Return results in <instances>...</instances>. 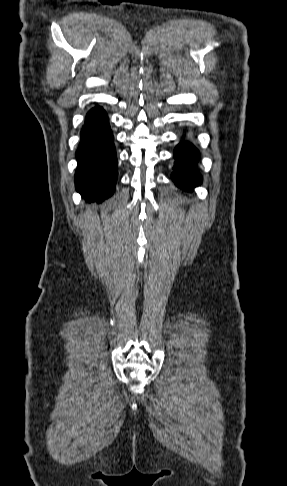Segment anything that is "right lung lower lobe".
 Masks as SVG:
<instances>
[{
  "label": "right lung lower lobe",
  "instance_id": "1",
  "mask_svg": "<svg viewBox=\"0 0 287 486\" xmlns=\"http://www.w3.org/2000/svg\"><path fill=\"white\" fill-rule=\"evenodd\" d=\"M76 189L88 202H101L111 196L117 181V159L106 112L91 109L81 131L76 152Z\"/></svg>",
  "mask_w": 287,
  "mask_h": 486
}]
</instances>
